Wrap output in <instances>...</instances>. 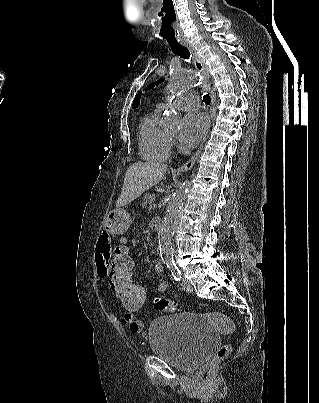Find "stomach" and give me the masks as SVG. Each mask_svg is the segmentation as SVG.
I'll return each instance as SVG.
<instances>
[{"instance_id": "stomach-1", "label": "stomach", "mask_w": 319, "mask_h": 403, "mask_svg": "<svg viewBox=\"0 0 319 403\" xmlns=\"http://www.w3.org/2000/svg\"><path fill=\"white\" fill-rule=\"evenodd\" d=\"M131 224L129 213L124 209H115L109 212L104 221V228L113 235L123 234Z\"/></svg>"}]
</instances>
